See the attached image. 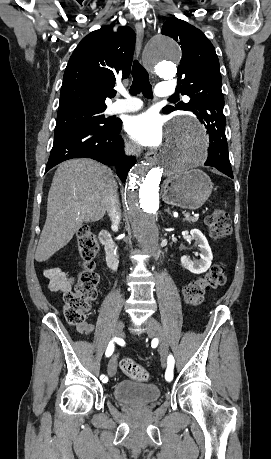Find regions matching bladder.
<instances>
[{"label": "bladder", "instance_id": "bladder-1", "mask_svg": "<svg viewBox=\"0 0 271 459\" xmlns=\"http://www.w3.org/2000/svg\"><path fill=\"white\" fill-rule=\"evenodd\" d=\"M161 394L156 385L142 384L135 381L117 383L113 388V397L123 405H149Z\"/></svg>", "mask_w": 271, "mask_h": 459}]
</instances>
